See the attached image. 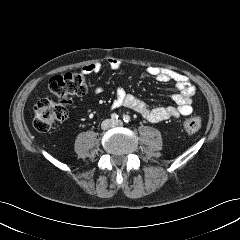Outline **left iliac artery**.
I'll use <instances>...</instances> for the list:
<instances>
[{"label":"left iliac artery","mask_w":240,"mask_h":240,"mask_svg":"<svg viewBox=\"0 0 240 240\" xmlns=\"http://www.w3.org/2000/svg\"><path fill=\"white\" fill-rule=\"evenodd\" d=\"M123 121H124L125 123H128V122L130 121V116L124 115V116H123Z\"/></svg>","instance_id":"left-iliac-artery-1"}]
</instances>
